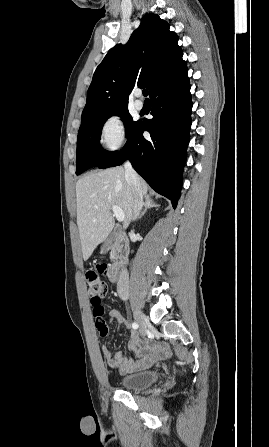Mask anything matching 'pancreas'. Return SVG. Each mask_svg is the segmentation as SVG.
<instances>
[{"label": "pancreas", "instance_id": "obj_1", "mask_svg": "<svg viewBox=\"0 0 269 447\" xmlns=\"http://www.w3.org/2000/svg\"><path fill=\"white\" fill-rule=\"evenodd\" d=\"M110 259H112V261H115L116 259V253H115V249L113 247L111 253H110Z\"/></svg>", "mask_w": 269, "mask_h": 447}]
</instances>
